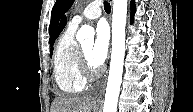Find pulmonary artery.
<instances>
[{
	"label": "pulmonary artery",
	"instance_id": "1",
	"mask_svg": "<svg viewBox=\"0 0 193 112\" xmlns=\"http://www.w3.org/2000/svg\"><path fill=\"white\" fill-rule=\"evenodd\" d=\"M100 15H101V3L99 1H93L89 3L80 14L75 15L72 18L69 25L77 28L83 22L94 20L100 17Z\"/></svg>",
	"mask_w": 193,
	"mask_h": 112
}]
</instances>
